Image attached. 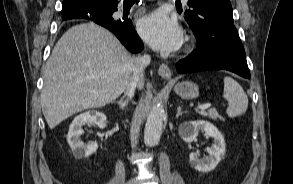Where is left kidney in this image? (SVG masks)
Masks as SVG:
<instances>
[{"label":"left kidney","instance_id":"left-kidney-1","mask_svg":"<svg viewBox=\"0 0 293 184\" xmlns=\"http://www.w3.org/2000/svg\"><path fill=\"white\" fill-rule=\"evenodd\" d=\"M214 139V143L207 148L209 154L204 159L198 158V153H190V163L200 172H209L216 168L225 155V141L220 131L211 123L203 120L186 122L180 129L179 134L185 142H192L199 131Z\"/></svg>","mask_w":293,"mask_h":184}]
</instances>
